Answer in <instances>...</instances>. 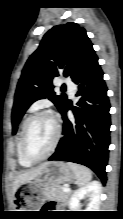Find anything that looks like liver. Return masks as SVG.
Here are the masks:
<instances>
[{
    "instance_id": "liver-1",
    "label": "liver",
    "mask_w": 123,
    "mask_h": 219,
    "mask_svg": "<svg viewBox=\"0 0 123 219\" xmlns=\"http://www.w3.org/2000/svg\"><path fill=\"white\" fill-rule=\"evenodd\" d=\"M49 164V162H45L42 165L36 167V168H32L28 171H25L21 174H19L14 182H13V191L12 194L14 195L16 193V191L18 190V188L26 183L29 182L30 180L36 178L44 169L45 167Z\"/></svg>"
}]
</instances>
